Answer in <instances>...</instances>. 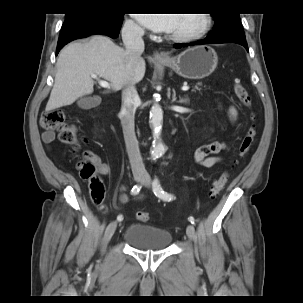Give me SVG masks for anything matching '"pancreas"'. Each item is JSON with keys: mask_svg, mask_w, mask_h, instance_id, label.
Returning <instances> with one entry per match:
<instances>
[{"mask_svg": "<svg viewBox=\"0 0 303 303\" xmlns=\"http://www.w3.org/2000/svg\"><path fill=\"white\" fill-rule=\"evenodd\" d=\"M199 86H201L200 83L196 84L195 87H194V89H193V91H194V90H200Z\"/></svg>", "mask_w": 303, "mask_h": 303, "instance_id": "obj_1", "label": "pancreas"}]
</instances>
